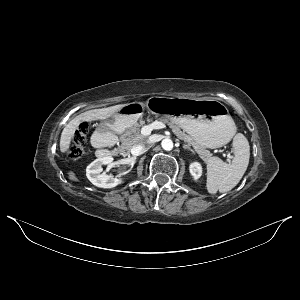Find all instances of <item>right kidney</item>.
I'll return each instance as SVG.
<instances>
[{"instance_id":"ca27d5eb","label":"right kidney","mask_w":300,"mask_h":300,"mask_svg":"<svg viewBox=\"0 0 300 300\" xmlns=\"http://www.w3.org/2000/svg\"><path fill=\"white\" fill-rule=\"evenodd\" d=\"M113 162L112 156L99 157L91 162L86 168V176L89 181L97 187L113 188L124 182L123 178L119 176L113 177L106 173H102L103 165H111Z\"/></svg>"}]
</instances>
